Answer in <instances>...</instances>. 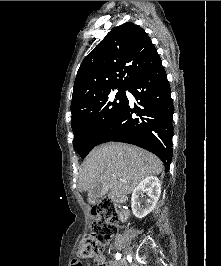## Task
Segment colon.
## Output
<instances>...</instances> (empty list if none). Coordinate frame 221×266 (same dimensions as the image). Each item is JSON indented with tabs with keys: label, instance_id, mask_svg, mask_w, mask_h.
<instances>
[{
	"label": "colon",
	"instance_id": "colon-1",
	"mask_svg": "<svg viewBox=\"0 0 221 266\" xmlns=\"http://www.w3.org/2000/svg\"><path fill=\"white\" fill-rule=\"evenodd\" d=\"M94 220L91 231L80 241L78 256L80 258H96L117 232V208L111 199H104L93 207Z\"/></svg>",
	"mask_w": 221,
	"mask_h": 266
}]
</instances>
